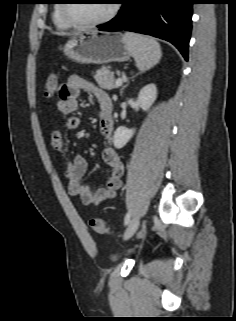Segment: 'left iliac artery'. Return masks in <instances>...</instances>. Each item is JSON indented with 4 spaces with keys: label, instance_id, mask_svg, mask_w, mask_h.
I'll return each instance as SVG.
<instances>
[{
    "label": "left iliac artery",
    "instance_id": "44dca946",
    "mask_svg": "<svg viewBox=\"0 0 236 321\" xmlns=\"http://www.w3.org/2000/svg\"><path fill=\"white\" fill-rule=\"evenodd\" d=\"M130 221V212H128L125 216V219H124V224L127 225Z\"/></svg>",
    "mask_w": 236,
    "mask_h": 321
}]
</instances>
